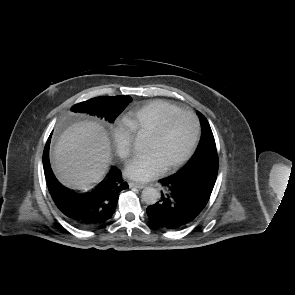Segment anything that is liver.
Wrapping results in <instances>:
<instances>
[{"label": "liver", "instance_id": "6515ba94", "mask_svg": "<svg viewBox=\"0 0 295 295\" xmlns=\"http://www.w3.org/2000/svg\"><path fill=\"white\" fill-rule=\"evenodd\" d=\"M111 160L110 140L96 122L73 124L60 136L53 153V169L67 187L85 190L101 181Z\"/></svg>", "mask_w": 295, "mask_h": 295}]
</instances>
